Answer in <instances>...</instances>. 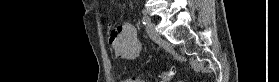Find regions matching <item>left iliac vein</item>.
I'll list each match as a JSON object with an SVG mask.
<instances>
[{
	"label": "left iliac vein",
	"mask_w": 279,
	"mask_h": 82,
	"mask_svg": "<svg viewBox=\"0 0 279 82\" xmlns=\"http://www.w3.org/2000/svg\"><path fill=\"white\" fill-rule=\"evenodd\" d=\"M146 31L149 35V37L153 40V41H156L160 38L158 32H157V29H156V25L152 22L148 23L146 25Z\"/></svg>",
	"instance_id": "left-iliac-vein-1"
}]
</instances>
